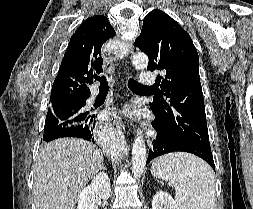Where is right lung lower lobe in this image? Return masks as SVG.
Listing matches in <instances>:
<instances>
[{
    "label": "right lung lower lobe",
    "mask_w": 253,
    "mask_h": 209,
    "mask_svg": "<svg viewBox=\"0 0 253 209\" xmlns=\"http://www.w3.org/2000/svg\"><path fill=\"white\" fill-rule=\"evenodd\" d=\"M96 123L95 116H90L88 122L86 123H79L74 124L62 129H59L58 131L48 132L44 133L43 135V141L49 142L57 138L61 137H78L85 139L87 141L94 142V139L96 138V131L94 130ZM42 142V140H41Z\"/></svg>",
    "instance_id": "right-lung-lower-lobe-1"
}]
</instances>
